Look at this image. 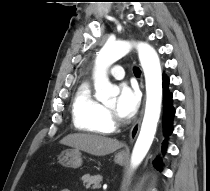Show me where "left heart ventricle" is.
<instances>
[{"label": "left heart ventricle", "mask_w": 210, "mask_h": 191, "mask_svg": "<svg viewBox=\"0 0 210 191\" xmlns=\"http://www.w3.org/2000/svg\"><path fill=\"white\" fill-rule=\"evenodd\" d=\"M114 106H115L114 103H111V104L108 105V107H110V108H114Z\"/></svg>", "instance_id": "left-heart-ventricle-1"}]
</instances>
